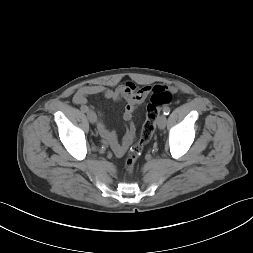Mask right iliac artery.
Wrapping results in <instances>:
<instances>
[{
  "instance_id": "1",
  "label": "right iliac artery",
  "mask_w": 253,
  "mask_h": 253,
  "mask_svg": "<svg viewBox=\"0 0 253 253\" xmlns=\"http://www.w3.org/2000/svg\"><path fill=\"white\" fill-rule=\"evenodd\" d=\"M81 110H82L83 112H87V111L89 110V108H88L87 106H85V107H81Z\"/></svg>"
}]
</instances>
